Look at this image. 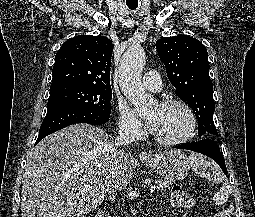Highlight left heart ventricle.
<instances>
[{"label":"left heart ventricle","instance_id":"left-heart-ventricle-1","mask_svg":"<svg viewBox=\"0 0 255 217\" xmlns=\"http://www.w3.org/2000/svg\"><path fill=\"white\" fill-rule=\"evenodd\" d=\"M154 121L153 133L165 139L178 138L184 135L190 125L187 112L180 106H155L147 115Z\"/></svg>","mask_w":255,"mask_h":217}]
</instances>
